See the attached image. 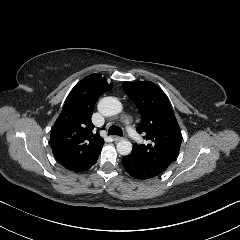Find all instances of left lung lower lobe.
Returning <instances> with one entry per match:
<instances>
[{"mask_svg": "<svg viewBox=\"0 0 240 240\" xmlns=\"http://www.w3.org/2000/svg\"><path fill=\"white\" fill-rule=\"evenodd\" d=\"M122 163L129 175L138 180L153 178L163 171L160 168L144 164L140 160L135 159L131 154L124 156Z\"/></svg>", "mask_w": 240, "mask_h": 240, "instance_id": "left-lung-lower-lobe-1", "label": "left lung lower lobe"}]
</instances>
